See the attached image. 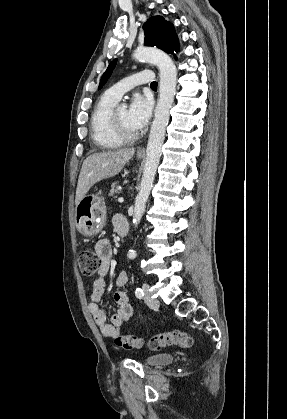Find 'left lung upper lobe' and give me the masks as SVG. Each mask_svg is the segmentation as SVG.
Wrapping results in <instances>:
<instances>
[{"instance_id":"obj_1","label":"left lung upper lobe","mask_w":287,"mask_h":419,"mask_svg":"<svg viewBox=\"0 0 287 419\" xmlns=\"http://www.w3.org/2000/svg\"><path fill=\"white\" fill-rule=\"evenodd\" d=\"M143 28L145 33L144 44L146 46H156L170 54H174V51L178 52L179 44L174 26L172 23L166 21L162 16H153L149 18L144 23ZM174 58L176 59V56H174ZM116 62L117 59L110 63L100 80L98 89H101L107 82L116 66Z\"/></svg>"}]
</instances>
